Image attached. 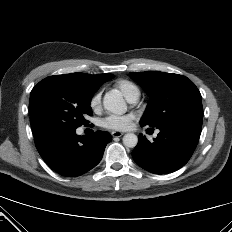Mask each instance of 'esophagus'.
Returning a JSON list of instances; mask_svg holds the SVG:
<instances>
[{
    "label": "esophagus",
    "instance_id": "esophagus-1",
    "mask_svg": "<svg viewBox=\"0 0 232 232\" xmlns=\"http://www.w3.org/2000/svg\"><path fill=\"white\" fill-rule=\"evenodd\" d=\"M124 133L123 132H120V131H112L111 132V135L113 137H121Z\"/></svg>",
    "mask_w": 232,
    "mask_h": 232
}]
</instances>
